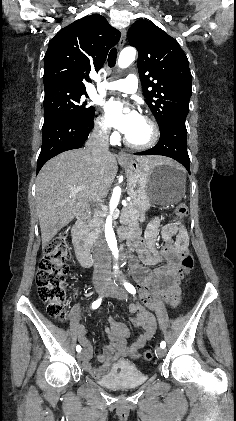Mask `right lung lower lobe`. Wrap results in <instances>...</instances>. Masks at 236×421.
Instances as JSON below:
<instances>
[{
    "mask_svg": "<svg viewBox=\"0 0 236 421\" xmlns=\"http://www.w3.org/2000/svg\"><path fill=\"white\" fill-rule=\"evenodd\" d=\"M93 118L87 124L74 122L66 118L54 119L44 124L42 128V147L37 161V173L52 157L64 151L82 147L94 126Z\"/></svg>",
    "mask_w": 236,
    "mask_h": 421,
    "instance_id": "right-lung-lower-lobe-1",
    "label": "right lung lower lobe"
}]
</instances>
